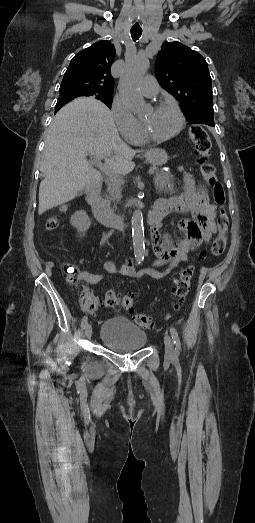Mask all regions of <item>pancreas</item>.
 Listing matches in <instances>:
<instances>
[{
    "mask_svg": "<svg viewBox=\"0 0 255 523\" xmlns=\"http://www.w3.org/2000/svg\"><path fill=\"white\" fill-rule=\"evenodd\" d=\"M172 180L173 176L169 174V172L155 170L154 184L156 190H158V194H175ZM106 182L108 184L109 200L119 202L121 198V184H123L122 176L114 174V176L106 178Z\"/></svg>",
    "mask_w": 255,
    "mask_h": 523,
    "instance_id": "cf45deb5",
    "label": "pancreas"
}]
</instances>
